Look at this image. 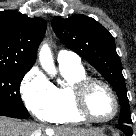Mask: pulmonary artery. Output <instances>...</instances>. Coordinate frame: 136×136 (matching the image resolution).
<instances>
[{
  "mask_svg": "<svg viewBox=\"0 0 136 136\" xmlns=\"http://www.w3.org/2000/svg\"><path fill=\"white\" fill-rule=\"evenodd\" d=\"M57 59L60 65H71V66L80 65L79 56L70 51H66V50L60 51Z\"/></svg>",
  "mask_w": 136,
  "mask_h": 136,
  "instance_id": "1",
  "label": "pulmonary artery"
}]
</instances>
